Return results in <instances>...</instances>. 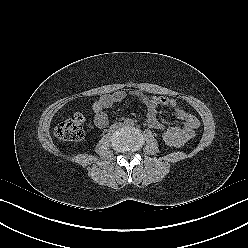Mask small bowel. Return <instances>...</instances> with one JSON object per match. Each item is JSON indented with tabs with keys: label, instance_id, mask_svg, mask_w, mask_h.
Segmentation results:
<instances>
[{
	"label": "small bowel",
	"instance_id": "small-bowel-1",
	"mask_svg": "<svg viewBox=\"0 0 248 248\" xmlns=\"http://www.w3.org/2000/svg\"><path fill=\"white\" fill-rule=\"evenodd\" d=\"M127 97H133L142 101L147 107V123L150 128L157 131H169L176 134L181 143L184 144L195 136V130L199 127V120L193 114L179 106L176 100L164 96H150L139 91L129 93L117 90L99 97L92 105L94 111V123L98 128H104L109 122L106 109L115 103H119ZM159 106L168 107L173 110L177 120L182 121L181 126L166 127L157 117Z\"/></svg>",
	"mask_w": 248,
	"mask_h": 248
}]
</instances>
